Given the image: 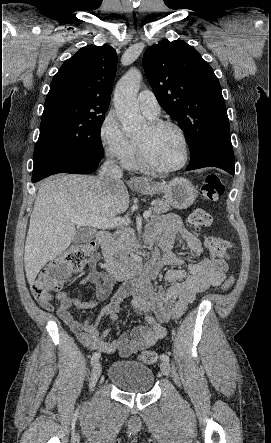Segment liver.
<instances>
[{
    "mask_svg": "<svg viewBox=\"0 0 271 443\" xmlns=\"http://www.w3.org/2000/svg\"><path fill=\"white\" fill-rule=\"evenodd\" d=\"M95 176L59 174L40 184L25 241L24 265L33 285L47 261L69 247L76 233L73 216L113 220L128 210L129 194L124 182L101 188Z\"/></svg>",
    "mask_w": 271,
    "mask_h": 443,
    "instance_id": "6515ba94",
    "label": "liver"
}]
</instances>
